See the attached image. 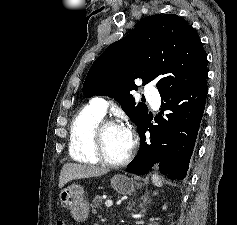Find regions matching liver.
I'll return each instance as SVG.
<instances>
[{"mask_svg": "<svg viewBox=\"0 0 237 225\" xmlns=\"http://www.w3.org/2000/svg\"><path fill=\"white\" fill-rule=\"evenodd\" d=\"M108 169L97 166L82 165L75 163L64 164L59 177V188L71 180L98 177L108 173Z\"/></svg>", "mask_w": 237, "mask_h": 225, "instance_id": "obj_1", "label": "liver"}]
</instances>
